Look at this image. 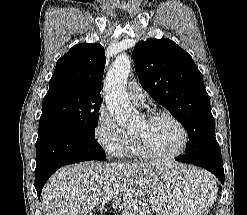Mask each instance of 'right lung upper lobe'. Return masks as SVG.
<instances>
[{"label":"right lung upper lobe","instance_id":"right-lung-upper-lobe-1","mask_svg":"<svg viewBox=\"0 0 247 215\" xmlns=\"http://www.w3.org/2000/svg\"><path fill=\"white\" fill-rule=\"evenodd\" d=\"M104 67L105 53L100 44H77L57 61L48 92L67 88L101 99Z\"/></svg>","mask_w":247,"mask_h":215}]
</instances>
